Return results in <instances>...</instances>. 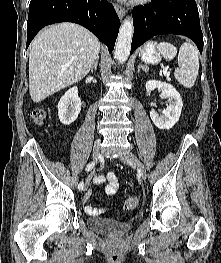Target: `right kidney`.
Returning a JSON list of instances; mask_svg holds the SVG:
<instances>
[{
  "instance_id": "right-kidney-1",
  "label": "right kidney",
  "mask_w": 221,
  "mask_h": 263,
  "mask_svg": "<svg viewBox=\"0 0 221 263\" xmlns=\"http://www.w3.org/2000/svg\"><path fill=\"white\" fill-rule=\"evenodd\" d=\"M81 110V100L77 87H72L61 97L58 102V116L63 125L72 124Z\"/></svg>"
}]
</instances>
